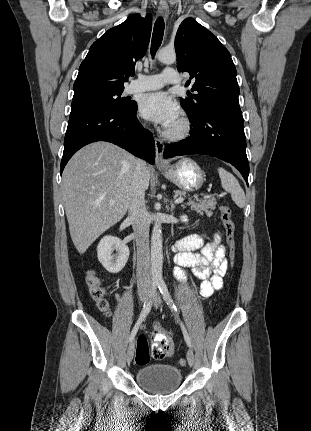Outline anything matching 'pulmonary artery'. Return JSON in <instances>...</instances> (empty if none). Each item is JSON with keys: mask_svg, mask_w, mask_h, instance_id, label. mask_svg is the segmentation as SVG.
I'll list each match as a JSON object with an SVG mask.
<instances>
[{"mask_svg": "<svg viewBox=\"0 0 311 431\" xmlns=\"http://www.w3.org/2000/svg\"><path fill=\"white\" fill-rule=\"evenodd\" d=\"M181 80L172 68H166L159 74L139 75L132 81L128 88V93H138L159 89L167 84L179 83Z\"/></svg>", "mask_w": 311, "mask_h": 431, "instance_id": "e3ab8cb5", "label": "pulmonary artery"}]
</instances>
